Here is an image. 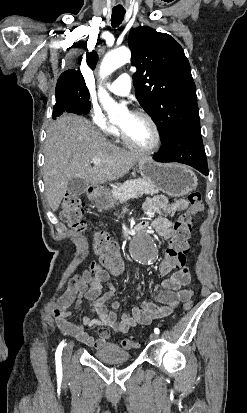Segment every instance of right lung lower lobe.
Listing matches in <instances>:
<instances>
[{"mask_svg":"<svg viewBox=\"0 0 247 413\" xmlns=\"http://www.w3.org/2000/svg\"><path fill=\"white\" fill-rule=\"evenodd\" d=\"M64 112L68 113H74L77 115H86L89 113V111H85L84 107L78 104L77 102L70 100V99H60L56 100V104L54 106L53 110V119H56V117H59L62 115Z\"/></svg>","mask_w":247,"mask_h":413,"instance_id":"98d812e1","label":"right lung lower lobe"}]
</instances>
